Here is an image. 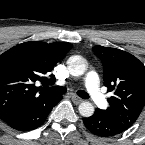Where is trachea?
<instances>
[{"instance_id": "3493384b", "label": "trachea", "mask_w": 145, "mask_h": 145, "mask_svg": "<svg viewBox=\"0 0 145 145\" xmlns=\"http://www.w3.org/2000/svg\"><path fill=\"white\" fill-rule=\"evenodd\" d=\"M45 89L50 90V91H52V92L55 93V94H64V93H66V91H67V89H66L65 87H63V86H53V87H48V86H46ZM77 94H78L81 98H83V99H88V98H89L88 93H86V92L83 91V90H78V91H77Z\"/></svg>"}]
</instances>
